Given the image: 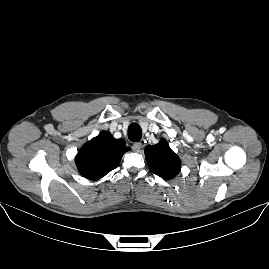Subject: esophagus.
<instances>
[{
    "instance_id": "1",
    "label": "esophagus",
    "mask_w": 269,
    "mask_h": 269,
    "mask_svg": "<svg viewBox=\"0 0 269 269\" xmlns=\"http://www.w3.org/2000/svg\"><path fill=\"white\" fill-rule=\"evenodd\" d=\"M142 148V143L141 142H136L132 145V150L134 152H139Z\"/></svg>"
}]
</instances>
